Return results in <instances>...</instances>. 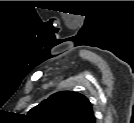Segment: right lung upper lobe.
Masks as SVG:
<instances>
[{
    "label": "right lung upper lobe",
    "instance_id": "cb5924a9",
    "mask_svg": "<svg viewBox=\"0 0 134 123\" xmlns=\"http://www.w3.org/2000/svg\"><path fill=\"white\" fill-rule=\"evenodd\" d=\"M27 118L34 123H95L89 100L73 91L51 95L32 108Z\"/></svg>",
    "mask_w": 134,
    "mask_h": 123
}]
</instances>
